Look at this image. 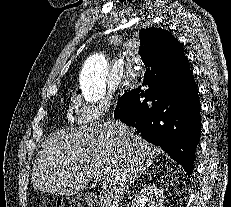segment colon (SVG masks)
<instances>
[{
	"instance_id": "1",
	"label": "colon",
	"mask_w": 231,
	"mask_h": 207,
	"mask_svg": "<svg viewBox=\"0 0 231 207\" xmlns=\"http://www.w3.org/2000/svg\"><path fill=\"white\" fill-rule=\"evenodd\" d=\"M56 207H81V205L74 199L62 198L58 201Z\"/></svg>"
}]
</instances>
